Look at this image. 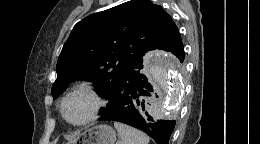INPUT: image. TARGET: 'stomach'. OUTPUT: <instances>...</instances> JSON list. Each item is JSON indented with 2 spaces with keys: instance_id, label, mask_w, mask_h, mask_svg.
I'll use <instances>...</instances> for the list:
<instances>
[{
  "instance_id": "stomach-1",
  "label": "stomach",
  "mask_w": 260,
  "mask_h": 144,
  "mask_svg": "<svg viewBox=\"0 0 260 144\" xmlns=\"http://www.w3.org/2000/svg\"><path fill=\"white\" fill-rule=\"evenodd\" d=\"M116 132L109 125H97L77 136L75 144H114Z\"/></svg>"
}]
</instances>
